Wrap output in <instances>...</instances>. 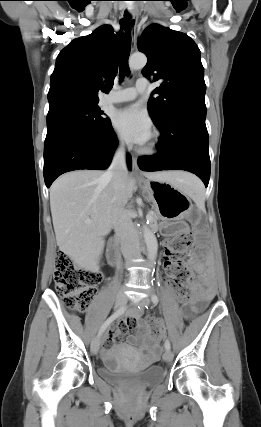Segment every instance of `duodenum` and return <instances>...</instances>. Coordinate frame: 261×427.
I'll return each instance as SVG.
<instances>
[{
	"mask_svg": "<svg viewBox=\"0 0 261 427\" xmlns=\"http://www.w3.org/2000/svg\"><path fill=\"white\" fill-rule=\"evenodd\" d=\"M109 262L112 266H116L119 263V241L117 239L112 240Z\"/></svg>",
	"mask_w": 261,
	"mask_h": 427,
	"instance_id": "obj_1",
	"label": "duodenum"
}]
</instances>
